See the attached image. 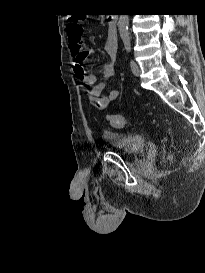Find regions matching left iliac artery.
I'll return each mask as SVG.
<instances>
[{
  "instance_id": "44dca946",
  "label": "left iliac artery",
  "mask_w": 205,
  "mask_h": 273,
  "mask_svg": "<svg viewBox=\"0 0 205 273\" xmlns=\"http://www.w3.org/2000/svg\"><path fill=\"white\" fill-rule=\"evenodd\" d=\"M124 45H125L126 50H127L128 52H130V50H131L130 42H129V41H125V42H124Z\"/></svg>"
}]
</instances>
